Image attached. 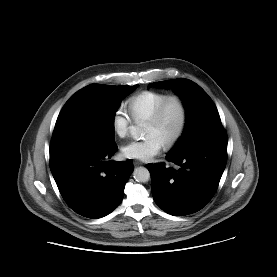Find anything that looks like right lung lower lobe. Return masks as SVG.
<instances>
[{"instance_id": "obj_1", "label": "right lung lower lobe", "mask_w": 277, "mask_h": 277, "mask_svg": "<svg viewBox=\"0 0 277 277\" xmlns=\"http://www.w3.org/2000/svg\"><path fill=\"white\" fill-rule=\"evenodd\" d=\"M89 137L54 132L50 169L67 205L81 216L101 218L115 210L124 197L133 171L130 159L107 161L117 151Z\"/></svg>"}]
</instances>
